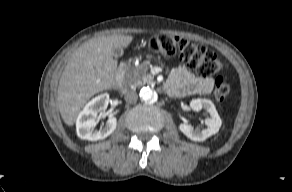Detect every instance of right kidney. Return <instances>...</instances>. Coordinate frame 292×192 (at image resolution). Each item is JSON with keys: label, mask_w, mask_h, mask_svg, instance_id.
I'll return each mask as SVG.
<instances>
[{"label": "right kidney", "mask_w": 292, "mask_h": 192, "mask_svg": "<svg viewBox=\"0 0 292 192\" xmlns=\"http://www.w3.org/2000/svg\"><path fill=\"white\" fill-rule=\"evenodd\" d=\"M109 94L98 95L89 101L79 113L76 121V131L79 138L89 141L105 139L116 129L117 119L110 116L106 125L99 130L94 129L98 112L106 109L109 103Z\"/></svg>", "instance_id": "ca27d5eb"}]
</instances>
